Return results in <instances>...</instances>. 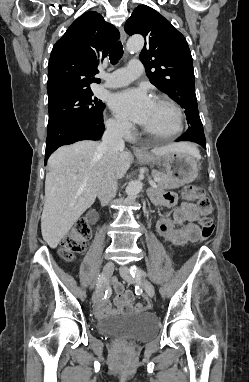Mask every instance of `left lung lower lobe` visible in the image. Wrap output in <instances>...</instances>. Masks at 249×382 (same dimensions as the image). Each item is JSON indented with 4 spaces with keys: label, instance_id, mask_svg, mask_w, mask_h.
Masks as SVG:
<instances>
[{
    "label": "left lung lower lobe",
    "instance_id": "obj_1",
    "mask_svg": "<svg viewBox=\"0 0 249 382\" xmlns=\"http://www.w3.org/2000/svg\"><path fill=\"white\" fill-rule=\"evenodd\" d=\"M176 141H192L200 144L206 149V140L203 129L188 128L186 133L180 136Z\"/></svg>",
    "mask_w": 249,
    "mask_h": 382
}]
</instances>
